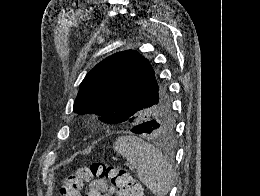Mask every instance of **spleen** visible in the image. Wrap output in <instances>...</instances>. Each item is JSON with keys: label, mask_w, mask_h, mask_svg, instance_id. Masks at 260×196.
<instances>
[{"label": "spleen", "mask_w": 260, "mask_h": 196, "mask_svg": "<svg viewBox=\"0 0 260 196\" xmlns=\"http://www.w3.org/2000/svg\"><path fill=\"white\" fill-rule=\"evenodd\" d=\"M114 152L134 166L137 176L155 196H166L171 190L175 172L162 152L138 136H120Z\"/></svg>", "instance_id": "1"}]
</instances>
